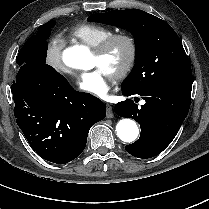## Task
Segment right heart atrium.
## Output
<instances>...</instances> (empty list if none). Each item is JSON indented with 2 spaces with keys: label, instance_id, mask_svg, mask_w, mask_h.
<instances>
[{
  "label": "right heart atrium",
  "instance_id": "1",
  "mask_svg": "<svg viewBox=\"0 0 209 209\" xmlns=\"http://www.w3.org/2000/svg\"><path fill=\"white\" fill-rule=\"evenodd\" d=\"M64 40L59 35L50 37L45 46V61L54 71L61 74H72V71L65 66L62 60Z\"/></svg>",
  "mask_w": 209,
  "mask_h": 209
}]
</instances>
